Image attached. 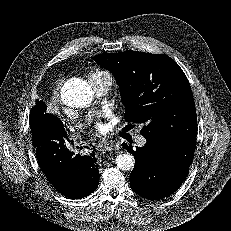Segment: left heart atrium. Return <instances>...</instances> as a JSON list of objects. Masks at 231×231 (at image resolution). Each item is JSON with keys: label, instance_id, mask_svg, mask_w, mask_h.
<instances>
[{"label": "left heart atrium", "instance_id": "left-heart-atrium-1", "mask_svg": "<svg viewBox=\"0 0 231 231\" xmlns=\"http://www.w3.org/2000/svg\"><path fill=\"white\" fill-rule=\"evenodd\" d=\"M93 124L95 129H97L98 131L104 132L107 130V125L103 123L100 119L95 120Z\"/></svg>", "mask_w": 231, "mask_h": 231}]
</instances>
